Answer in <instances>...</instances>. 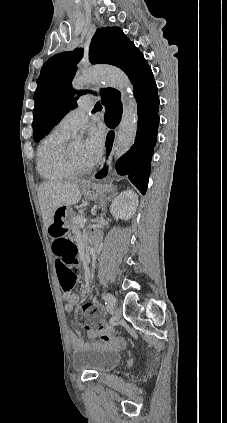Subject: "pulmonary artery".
Returning a JSON list of instances; mask_svg holds the SVG:
<instances>
[{"label": "pulmonary artery", "mask_w": 227, "mask_h": 423, "mask_svg": "<svg viewBox=\"0 0 227 423\" xmlns=\"http://www.w3.org/2000/svg\"><path fill=\"white\" fill-rule=\"evenodd\" d=\"M91 108L89 101H82L79 103L77 109L70 111L58 124L61 129L73 134L81 126L85 125L88 121V115Z\"/></svg>", "instance_id": "e3ab8cb5"}]
</instances>
